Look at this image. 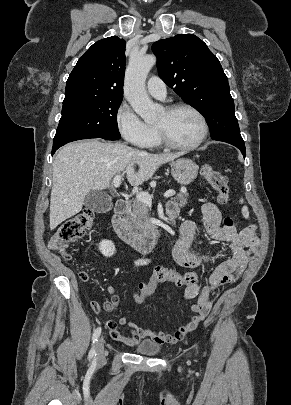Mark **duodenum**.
<instances>
[{
  "instance_id": "1",
  "label": "duodenum",
  "mask_w": 291,
  "mask_h": 405,
  "mask_svg": "<svg viewBox=\"0 0 291 405\" xmlns=\"http://www.w3.org/2000/svg\"><path fill=\"white\" fill-rule=\"evenodd\" d=\"M131 210L129 201L118 200L115 206L113 225L119 238L141 253L151 251L157 244L159 238V230L153 229L143 234H138L132 230L128 222V216ZM168 215L170 218L176 216V211L169 209Z\"/></svg>"
}]
</instances>
